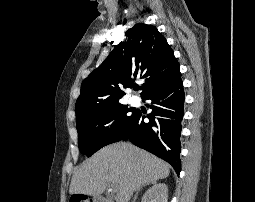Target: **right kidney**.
Wrapping results in <instances>:
<instances>
[{"mask_svg":"<svg viewBox=\"0 0 255 202\" xmlns=\"http://www.w3.org/2000/svg\"><path fill=\"white\" fill-rule=\"evenodd\" d=\"M168 188L164 183L154 184L143 196L142 202H167Z\"/></svg>","mask_w":255,"mask_h":202,"instance_id":"ca27d5eb","label":"right kidney"}]
</instances>
